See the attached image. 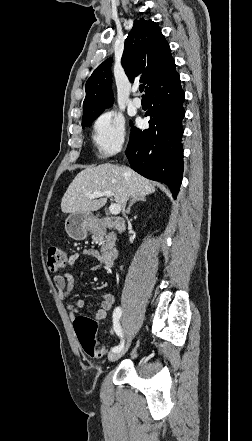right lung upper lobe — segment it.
<instances>
[{
    "instance_id": "obj_1",
    "label": "right lung upper lobe",
    "mask_w": 252,
    "mask_h": 441,
    "mask_svg": "<svg viewBox=\"0 0 252 441\" xmlns=\"http://www.w3.org/2000/svg\"><path fill=\"white\" fill-rule=\"evenodd\" d=\"M111 61L112 58H109L100 64L86 82L82 123L98 116L106 106L112 104ZM173 61L170 47L160 27L152 20H135L125 40L121 59L129 80L133 82L139 77L146 85L147 92Z\"/></svg>"
}]
</instances>
